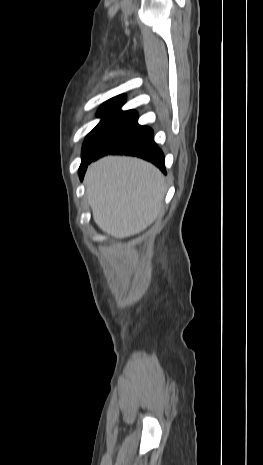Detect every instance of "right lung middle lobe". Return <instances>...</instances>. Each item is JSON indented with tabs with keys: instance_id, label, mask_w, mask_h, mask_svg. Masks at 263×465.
Instances as JSON below:
<instances>
[{
	"instance_id": "obj_1",
	"label": "right lung middle lobe",
	"mask_w": 263,
	"mask_h": 465,
	"mask_svg": "<svg viewBox=\"0 0 263 465\" xmlns=\"http://www.w3.org/2000/svg\"><path fill=\"white\" fill-rule=\"evenodd\" d=\"M123 103V101H108L101 106L98 115L102 120L86 137L82 149L81 165L96 154L106 137L131 112L130 110L122 111L120 109Z\"/></svg>"
}]
</instances>
